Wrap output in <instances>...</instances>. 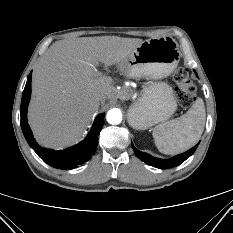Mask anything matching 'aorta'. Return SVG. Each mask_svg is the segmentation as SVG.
Segmentation results:
<instances>
[{
  "instance_id": "obj_1",
  "label": "aorta",
  "mask_w": 233,
  "mask_h": 233,
  "mask_svg": "<svg viewBox=\"0 0 233 233\" xmlns=\"http://www.w3.org/2000/svg\"><path fill=\"white\" fill-rule=\"evenodd\" d=\"M106 118L110 124H119L122 121V113L120 109L113 108L108 111Z\"/></svg>"
}]
</instances>
